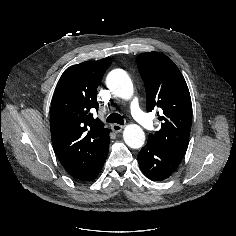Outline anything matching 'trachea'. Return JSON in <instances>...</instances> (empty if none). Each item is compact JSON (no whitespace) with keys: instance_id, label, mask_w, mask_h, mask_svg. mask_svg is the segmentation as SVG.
Returning <instances> with one entry per match:
<instances>
[{"instance_id":"obj_1","label":"trachea","mask_w":236,"mask_h":236,"mask_svg":"<svg viewBox=\"0 0 236 236\" xmlns=\"http://www.w3.org/2000/svg\"><path fill=\"white\" fill-rule=\"evenodd\" d=\"M106 122L108 123H117V124H120V125H124V119L123 117L118 114V113H112L110 114L107 119H106Z\"/></svg>"}]
</instances>
